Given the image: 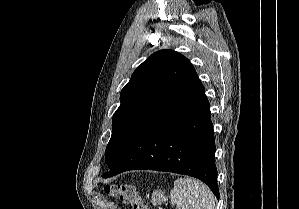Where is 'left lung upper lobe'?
<instances>
[{"mask_svg":"<svg viewBox=\"0 0 299 209\" xmlns=\"http://www.w3.org/2000/svg\"><path fill=\"white\" fill-rule=\"evenodd\" d=\"M197 77L190 61L173 50L148 57L120 93L121 104L112 118V136L105 150L111 169L147 121Z\"/></svg>","mask_w":299,"mask_h":209,"instance_id":"left-lung-upper-lobe-1","label":"left lung upper lobe"}]
</instances>
